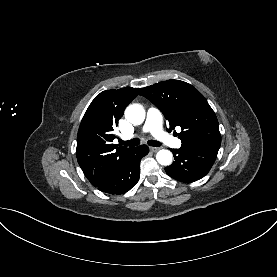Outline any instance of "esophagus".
Returning <instances> with one entry per match:
<instances>
[{"label": "esophagus", "mask_w": 277, "mask_h": 277, "mask_svg": "<svg viewBox=\"0 0 277 277\" xmlns=\"http://www.w3.org/2000/svg\"><path fill=\"white\" fill-rule=\"evenodd\" d=\"M159 149V147H150V151L152 152H157Z\"/></svg>", "instance_id": "obj_1"}]
</instances>
